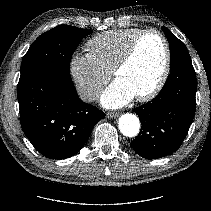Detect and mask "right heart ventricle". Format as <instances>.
Wrapping results in <instances>:
<instances>
[{
  "label": "right heart ventricle",
  "mask_w": 211,
  "mask_h": 211,
  "mask_svg": "<svg viewBox=\"0 0 211 211\" xmlns=\"http://www.w3.org/2000/svg\"><path fill=\"white\" fill-rule=\"evenodd\" d=\"M141 28L114 29L100 33L87 42V50L97 64L111 73Z\"/></svg>",
  "instance_id": "right-heart-ventricle-1"
}]
</instances>
